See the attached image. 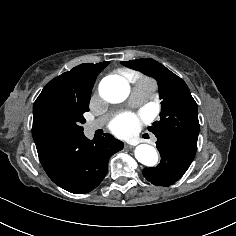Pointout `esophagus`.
<instances>
[{
    "instance_id": "obj_1",
    "label": "esophagus",
    "mask_w": 236,
    "mask_h": 236,
    "mask_svg": "<svg viewBox=\"0 0 236 236\" xmlns=\"http://www.w3.org/2000/svg\"><path fill=\"white\" fill-rule=\"evenodd\" d=\"M127 147H129V148H132V146H131V145H129V146H127Z\"/></svg>"
}]
</instances>
